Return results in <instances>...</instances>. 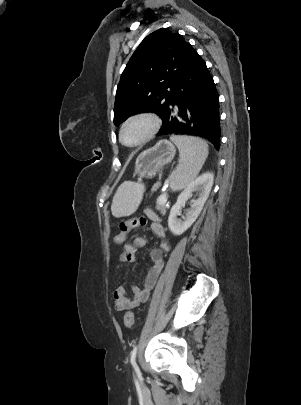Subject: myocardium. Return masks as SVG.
I'll list each match as a JSON object with an SVG mask.
<instances>
[{"label":"myocardium","mask_w":301,"mask_h":405,"mask_svg":"<svg viewBox=\"0 0 301 405\" xmlns=\"http://www.w3.org/2000/svg\"><path fill=\"white\" fill-rule=\"evenodd\" d=\"M135 121H145L148 123V130L145 135L136 143L134 144H127L123 141V132L125 128L132 122ZM161 127V119L160 117L149 111L138 112L129 116L121 125L119 130V140L122 145L130 148H135L144 145L149 140H151L159 131Z\"/></svg>","instance_id":"obj_1"}]
</instances>
